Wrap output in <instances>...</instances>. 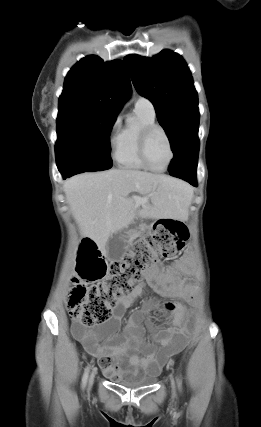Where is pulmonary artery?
I'll return each instance as SVG.
<instances>
[{
  "mask_svg": "<svg viewBox=\"0 0 261 427\" xmlns=\"http://www.w3.org/2000/svg\"><path fill=\"white\" fill-rule=\"evenodd\" d=\"M135 108L140 109L148 113L149 115L155 116V108L152 102L145 97H138L135 102Z\"/></svg>",
  "mask_w": 261,
  "mask_h": 427,
  "instance_id": "e3ab8cb5",
  "label": "pulmonary artery"
}]
</instances>
